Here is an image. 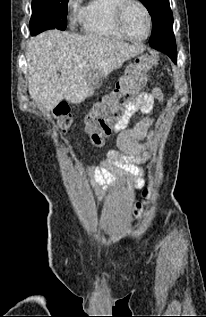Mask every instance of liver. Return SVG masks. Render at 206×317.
Segmentation results:
<instances>
[{"label": "liver", "instance_id": "1", "mask_svg": "<svg viewBox=\"0 0 206 317\" xmlns=\"http://www.w3.org/2000/svg\"><path fill=\"white\" fill-rule=\"evenodd\" d=\"M144 50L97 35L45 31L30 39L26 52L30 97L47 111L63 99L80 103L94 93L89 73L98 72L102 80Z\"/></svg>", "mask_w": 206, "mask_h": 317}]
</instances>
